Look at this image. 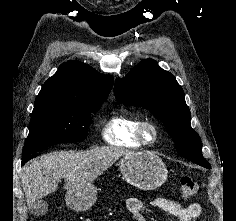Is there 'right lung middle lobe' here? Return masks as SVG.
Returning a JSON list of instances; mask_svg holds the SVG:
<instances>
[{
    "instance_id": "1",
    "label": "right lung middle lobe",
    "mask_w": 236,
    "mask_h": 221,
    "mask_svg": "<svg viewBox=\"0 0 236 221\" xmlns=\"http://www.w3.org/2000/svg\"><path fill=\"white\" fill-rule=\"evenodd\" d=\"M101 104L35 103L22 157L54 144L84 140L91 113L99 110Z\"/></svg>"
}]
</instances>
